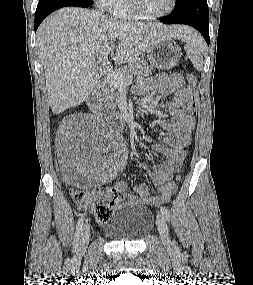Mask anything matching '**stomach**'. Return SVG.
Listing matches in <instances>:
<instances>
[{
    "mask_svg": "<svg viewBox=\"0 0 253 285\" xmlns=\"http://www.w3.org/2000/svg\"><path fill=\"white\" fill-rule=\"evenodd\" d=\"M181 55L180 47L169 38L161 39L147 49V57L151 66L162 70L175 67Z\"/></svg>",
    "mask_w": 253,
    "mask_h": 285,
    "instance_id": "stomach-1",
    "label": "stomach"
}]
</instances>
